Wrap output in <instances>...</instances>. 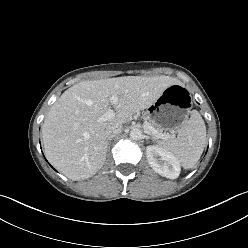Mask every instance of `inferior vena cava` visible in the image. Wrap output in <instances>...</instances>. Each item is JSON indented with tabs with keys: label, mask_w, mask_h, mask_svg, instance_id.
Here are the masks:
<instances>
[{
	"label": "inferior vena cava",
	"mask_w": 248,
	"mask_h": 248,
	"mask_svg": "<svg viewBox=\"0 0 248 248\" xmlns=\"http://www.w3.org/2000/svg\"><path fill=\"white\" fill-rule=\"evenodd\" d=\"M122 130V125L120 124H113L111 126H108L105 130V136L107 139L111 140L112 138H114L115 136H117L118 134H120Z\"/></svg>",
	"instance_id": "602c4592"
}]
</instances>
